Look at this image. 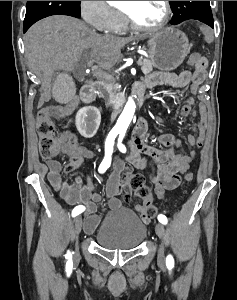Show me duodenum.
<instances>
[{"label":"duodenum","instance_id":"obj_1","mask_svg":"<svg viewBox=\"0 0 237 300\" xmlns=\"http://www.w3.org/2000/svg\"><path fill=\"white\" fill-rule=\"evenodd\" d=\"M136 97H137V102L138 105H141L144 101V95L142 90H137L136 91ZM81 98L82 100L88 104L91 105L95 101V91L94 87L90 83H86L82 86L81 88Z\"/></svg>","mask_w":237,"mask_h":300}]
</instances>
